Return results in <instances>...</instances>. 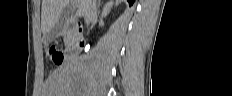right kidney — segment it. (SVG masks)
I'll list each match as a JSON object with an SVG mask.
<instances>
[{
	"instance_id": "1",
	"label": "right kidney",
	"mask_w": 232,
	"mask_h": 96,
	"mask_svg": "<svg viewBox=\"0 0 232 96\" xmlns=\"http://www.w3.org/2000/svg\"><path fill=\"white\" fill-rule=\"evenodd\" d=\"M112 6H113V0H109V2L103 8L102 17H106L108 15Z\"/></svg>"
}]
</instances>
